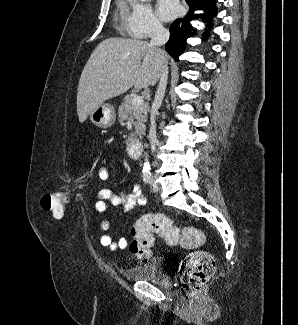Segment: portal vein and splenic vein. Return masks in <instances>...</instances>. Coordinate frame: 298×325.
I'll use <instances>...</instances> for the list:
<instances>
[{"mask_svg": "<svg viewBox=\"0 0 298 325\" xmlns=\"http://www.w3.org/2000/svg\"><path fill=\"white\" fill-rule=\"evenodd\" d=\"M143 98L144 96H134V98H132V106H141L144 102Z\"/></svg>", "mask_w": 298, "mask_h": 325, "instance_id": "1", "label": "portal vein and splenic vein"}]
</instances>
